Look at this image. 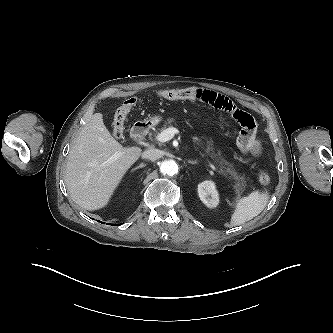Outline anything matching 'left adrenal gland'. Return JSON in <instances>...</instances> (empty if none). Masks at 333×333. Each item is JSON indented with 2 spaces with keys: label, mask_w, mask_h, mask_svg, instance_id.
I'll return each mask as SVG.
<instances>
[{
  "label": "left adrenal gland",
  "mask_w": 333,
  "mask_h": 333,
  "mask_svg": "<svg viewBox=\"0 0 333 333\" xmlns=\"http://www.w3.org/2000/svg\"><path fill=\"white\" fill-rule=\"evenodd\" d=\"M188 163H190V164H197L198 162L196 160L195 161L188 160Z\"/></svg>",
  "instance_id": "left-adrenal-gland-1"
}]
</instances>
